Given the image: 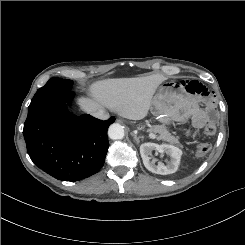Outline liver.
Instances as JSON below:
<instances>
[{"label":"liver","instance_id":"1","mask_svg":"<svg viewBox=\"0 0 245 245\" xmlns=\"http://www.w3.org/2000/svg\"><path fill=\"white\" fill-rule=\"evenodd\" d=\"M164 80L163 75L153 74L100 81L91 86L93 99L81 98L79 105L88 113L108 108L123 118L141 120L147 116L153 95Z\"/></svg>","mask_w":245,"mask_h":245}]
</instances>
